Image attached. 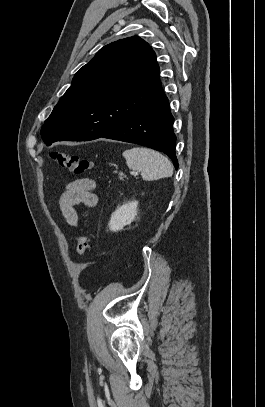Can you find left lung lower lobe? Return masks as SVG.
Here are the masks:
<instances>
[{
    "label": "left lung lower lobe",
    "instance_id": "left-lung-lower-lobe-1",
    "mask_svg": "<svg viewBox=\"0 0 265 407\" xmlns=\"http://www.w3.org/2000/svg\"><path fill=\"white\" fill-rule=\"evenodd\" d=\"M173 121L168 98L163 94L154 104L141 110L102 137L160 150L170 157L177 169Z\"/></svg>",
    "mask_w": 265,
    "mask_h": 407
}]
</instances>
